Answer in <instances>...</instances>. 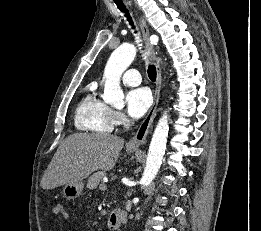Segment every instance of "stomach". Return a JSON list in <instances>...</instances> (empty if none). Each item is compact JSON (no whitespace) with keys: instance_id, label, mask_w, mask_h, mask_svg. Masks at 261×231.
<instances>
[{"instance_id":"1","label":"stomach","mask_w":261,"mask_h":231,"mask_svg":"<svg viewBox=\"0 0 261 231\" xmlns=\"http://www.w3.org/2000/svg\"><path fill=\"white\" fill-rule=\"evenodd\" d=\"M132 152L135 150H131ZM84 189V183L82 181L76 183H68L63 187V195L68 200H73L79 197Z\"/></svg>"}]
</instances>
